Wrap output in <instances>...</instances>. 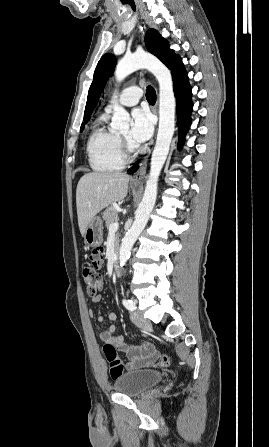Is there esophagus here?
<instances>
[{"instance_id":"obj_1","label":"esophagus","mask_w":269,"mask_h":447,"mask_svg":"<svg viewBox=\"0 0 269 447\" xmlns=\"http://www.w3.org/2000/svg\"><path fill=\"white\" fill-rule=\"evenodd\" d=\"M156 110H157V108H156ZM150 153H151V151L149 150V152L146 155V157H144L143 160L140 162L139 169L137 170V172L133 176V178L131 180V183H133V184L142 183V181H143V179H144V177L146 175L147 162H148V158H149Z\"/></svg>"}]
</instances>
